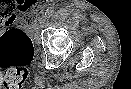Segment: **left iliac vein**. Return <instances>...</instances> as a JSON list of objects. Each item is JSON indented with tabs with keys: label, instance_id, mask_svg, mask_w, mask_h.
Returning a JSON list of instances; mask_svg holds the SVG:
<instances>
[{
	"label": "left iliac vein",
	"instance_id": "4c4485c4",
	"mask_svg": "<svg viewBox=\"0 0 131 89\" xmlns=\"http://www.w3.org/2000/svg\"><path fill=\"white\" fill-rule=\"evenodd\" d=\"M44 22H45V18H42V19L40 20V25H39L38 28H41V27L43 26Z\"/></svg>",
	"mask_w": 131,
	"mask_h": 89
}]
</instances>
